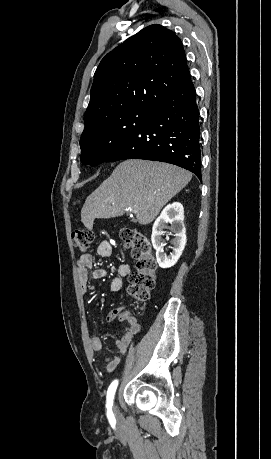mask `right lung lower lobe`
I'll return each mask as SVG.
<instances>
[{
  "mask_svg": "<svg viewBox=\"0 0 271 459\" xmlns=\"http://www.w3.org/2000/svg\"><path fill=\"white\" fill-rule=\"evenodd\" d=\"M199 109L192 81L158 102L154 112L105 161L146 159L175 164L201 180Z\"/></svg>",
  "mask_w": 271,
  "mask_h": 459,
  "instance_id": "98d812e1",
  "label": "right lung lower lobe"
}]
</instances>
